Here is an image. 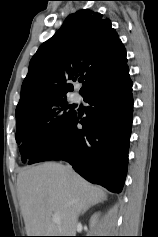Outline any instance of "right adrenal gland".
I'll return each mask as SVG.
<instances>
[{
  "mask_svg": "<svg viewBox=\"0 0 158 237\" xmlns=\"http://www.w3.org/2000/svg\"><path fill=\"white\" fill-rule=\"evenodd\" d=\"M88 209H89V207L86 208V209L82 212V215H83Z\"/></svg>",
  "mask_w": 158,
  "mask_h": 237,
  "instance_id": "1",
  "label": "right adrenal gland"
}]
</instances>
